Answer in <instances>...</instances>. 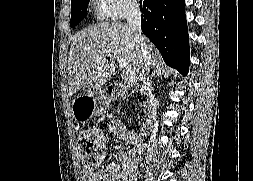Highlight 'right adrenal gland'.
Returning <instances> with one entry per match:
<instances>
[{
  "instance_id": "1",
  "label": "right adrenal gland",
  "mask_w": 253,
  "mask_h": 181,
  "mask_svg": "<svg viewBox=\"0 0 253 181\" xmlns=\"http://www.w3.org/2000/svg\"><path fill=\"white\" fill-rule=\"evenodd\" d=\"M156 75L162 76L161 68H157L156 70H154L151 77L154 78Z\"/></svg>"
}]
</instances>
